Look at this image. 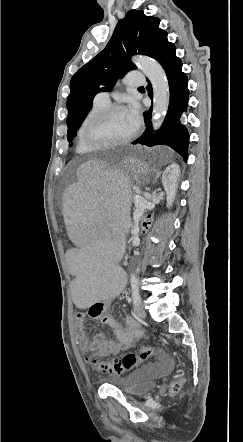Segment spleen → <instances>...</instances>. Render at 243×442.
<instances>
[{
	"mask_svg": "<svg viewBox=\"0 0 243 442\" xmlns=\"http://www.w3.org/2000/svg\"><path fill=\"white\" fill-rule=\"evenodd\" d=\"M147 160V155H128L127 159H111L104 165L82 163L77 171V183H69L65 202V217L71 242L79 254H71L69 268L76 274L71 287L75 307H96L105 296H122L129 291V282L120 258L122 239L127 237L129 193L141 178H154L150 165L130 164V160ZM112 192V193H91Z\"/></svg>",
	"mask_w": 243,
	"mask_h": 442,
	"instance_id": "spleen-1",
	"label": "spleen"
}]
</instances>
